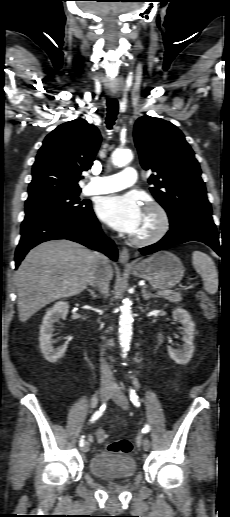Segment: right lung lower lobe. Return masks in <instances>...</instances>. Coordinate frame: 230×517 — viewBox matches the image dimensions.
Wrapping results in <instances>:
<instances>
[{
    "label": "right lung lower lobe",
    "instance_id": "right-lung-lower-lobe-1",
    "mask_svg": "<svg viewBox=\"0 0 230 517\" xmlns=\"http://www.w3.org/2000/svg\"><path fill=\"white\" fill-rule=\"evenodd\" d=\"M100 230V223L92 209L82 213L42 211L26 214L21 225V240L15 253L16 267L30 249L54 239L78 242L116 260L115 244L112 241H103Z\"/></svg>",
    "mask_w": 230,
    "mask_h": 517
}]
</instances>
